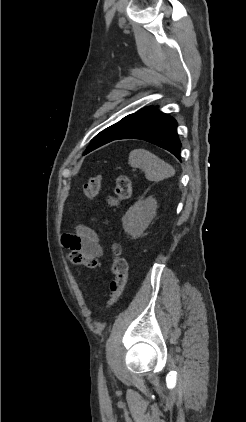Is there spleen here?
<instances>
[{"instance_id": "obj_1", "label": "spleen", "mask_w": 246, "mask_h": 422, "mask_svg": "<svg viewBox=\"0 0 246 422\" xmlns=\"http://www.w3.org/2000/svg\"><path fill=\"white\" fill-rule=\"evenodd\" d=\"M128 163L144 171L146 179L150 181L158 182L175 174V169L170 164L145 149L132 150Z\"/></svg>"}]
</instances>
